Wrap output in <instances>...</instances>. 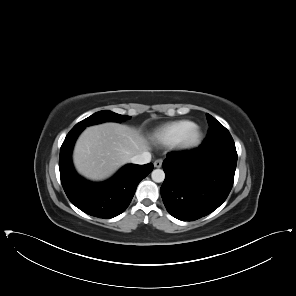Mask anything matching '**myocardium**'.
<instances>
[{
  "instance_id": "myocardium-1",
  "label": "myocardium",
  "mask_w": 296,
  "mask_h": 296,
  "mask_svg": "<svg viewBox=\"0 0 296 296\" xmlns=\"http://www.w3.org/2000/svg\"><path fill=\"white\" fill-rule=\"evenodd\" d=\"M202 135L201 128L193 124L177 140L175 147L179 150H192L201 143Z\"/></svg>"
}]
</instances>
